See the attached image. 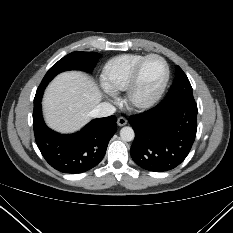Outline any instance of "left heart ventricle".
Returning <instances> with one entry per match:
<instances>
[{
  "label": "left heart ventricle",
  "instance_id": "obj_1",
  "mask_svg": "<svg viewBox=\"0 0 233 233\" xmlns=\"http://www.w3.org/2000/svg\"><path fill=\"white\" fill-rule=\"evenodd\" d=\"M165 76V66L158 58L149 59L141 71L139 79V95L148 97L156 91Z\"/></svg>",
  "mask_w": 233,
  "mask_h": 233
}]
</instances>
